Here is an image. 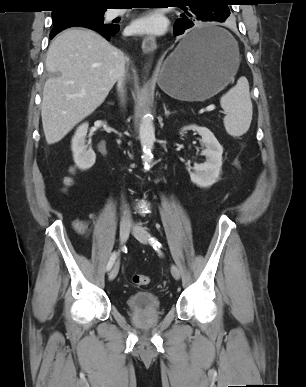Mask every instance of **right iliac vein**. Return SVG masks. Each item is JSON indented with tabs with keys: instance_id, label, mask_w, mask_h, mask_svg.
I'll use <instances>...</instances> for the list:
<instances>
[{
	"instance_id": "63e3f726",
	"label": "right iliac vein",
	"mask_w": 306,
	"mask_h": 387,
	"mask_svg": "<svg viewBox=\"0 0 306 387\" xmlns=\"http://www.w3.org/2000/svg\"><path fill=\"white\" fill-rule=\"evenodd\" d=\"M130 230H131V224L130 223L124 222V223L120 224L119 233H120L121 243H125L126 242V240L128 239ZM119 266H120V263H119V260H117L115 262L112 270L109 273V280H113V279L116 278V276H117V274L119 272Z\"/></svg>"
}]
</instances>
